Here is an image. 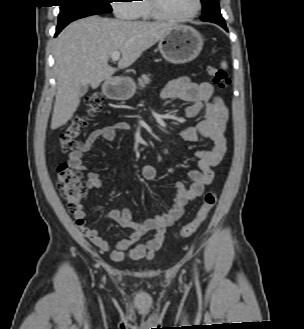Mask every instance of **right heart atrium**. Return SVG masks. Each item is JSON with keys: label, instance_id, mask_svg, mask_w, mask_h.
Returning a JSON list of instances; mask_svg holds the SVG:
<instances>
[{"label": "right heart atrium", "instance_id": "d8ad5b80", "mask_svg": "<svg viewBox=\"0 0 304 329\" xmlns=\"http://www.w3.org/2000/svg\"><path fill=\"white\" fill-rule=\"evenodd\" d=\"M131 1L132 0H114L112 7L116 16L122 19H134L135 6Z\"/></svg>", "mask_w": 304, "mask_h": 329}]
</instances>
